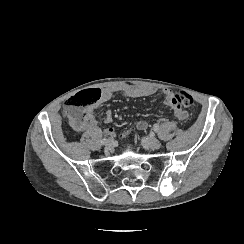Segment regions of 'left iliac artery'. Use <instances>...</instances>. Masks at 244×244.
Listing matches in <instances>:
<instances>
[{"instance_id":"44dca946","label":"left iliac artery","mask_w":244,"mask_h":244,"mask_svg":"<svg viewBox=\"0 0 244 244\" xmlns=\"http://www.w3.org/2000/svg\"><path fill=\"white\" fill-rule=\"evenodd\" d=\"M154 131L157 133L159 131V125L155 124L153 127Z\"/></svg>"}]
</instances>
